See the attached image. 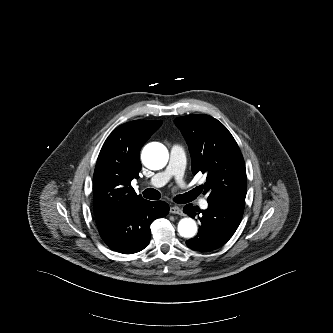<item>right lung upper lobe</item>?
I'll return each mask as SVG.
<instances>
[{"mask_svg":"<svg viewBox=\"0 0 333 333\" xmlns=\"http://www.w3.org/2000/svg\"><path fill=\"white\" fill-rule=\"evenodd\" d=\"M161 125L160 120H135L117 127L109 135L94 171V205L116 202L130 205L143 199L134 191L131 180L141 170V147Z\"/></svg>","mask_w":333,"mask_h":333,"instance_id":"1","label":"right lung upper lobe"}]
</instances>
